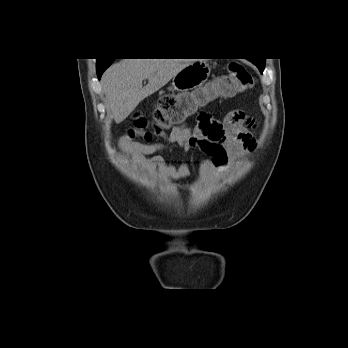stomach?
<instances>
[{
	"label": "stomach",
	"mask_w": 348,
	"mask_h": 348,
	"mask_svg": "<svg viewBox=\"0 0 348 348\" xmlns=\"http://www.w3.org/2000/svg\"><path fill=\"white\" fill-rule=\"evenodd\" d=\"M210 71L211 69L206 62L195 61L180 70L173 77L168 90L181 93L186 104V115L195 113L199 107H203L209 102L207 97L195 93L192 90L203 86L210 75Z\"/></svg>",
	"instance_id": "stomach-1"
}]
</instances>
